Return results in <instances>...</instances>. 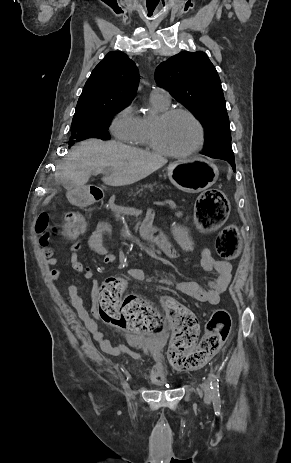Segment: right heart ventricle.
Instances as JSON below:
<instances>
[{"label":"right heart ventricle","mask_w":291,"mask_h":463,"mask_svg":"<svg viewBox=\"0 0 291 463\" xmlns=\"http://www.w3.org/2000/svg\"><path fill=\"white\" fill-rule=\"evenodd\" d=\"M153 106L160 112L168 108V104H163L159 101L151 99ZM138 118V131L133 144L139 146L151 147L150 144V123L151 121L146 117L139 116Z\"/></svg>","instance_id":"e07e8e85"}]
</instances>
